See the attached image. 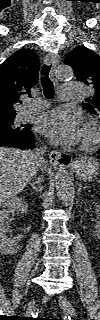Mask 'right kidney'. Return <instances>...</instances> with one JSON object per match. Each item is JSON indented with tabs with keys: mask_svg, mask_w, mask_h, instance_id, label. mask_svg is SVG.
I'll list each match as a JSON object with an SVG mask.
<instances>
[{
	"mask_svg": "<svg viewBox=\"0 0 100 320\" xmlns=\"http://www.w3.org/2000/svg\"><path fill=\"white\" fill-rule=\"evenodd\" d=\"M28 205L22 197H13L8 202L3 203L0 211V248L5 254H14L17 252V244L21 240L20 236L8 237L9 218L17 213H27Z\"/></svg>",
	"mask_w": 100,
	"mask_h": 320,
	"instance_id": "obj_1",
	"label": "right kidney"
}]
</instances>
